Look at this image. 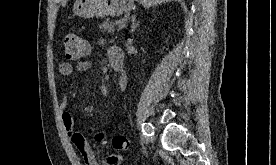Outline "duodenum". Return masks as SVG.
Instances as JSON below:
<instances>
[{"label": "duodenum", "instance_id": "obj_1", "mask_svg": "<svg viewBox=\"0 0 276 165\" xmlns=\"http://www.w3.org/2000/svg\"><path fill=\"white\" fill-rule=\"evenodd\" d=\"M110 66L115 72H120L123 69V60L117 56H112L109 59Z\"/></svg>", "mask_w": 276, "mask_h": 165}]
</instances>
